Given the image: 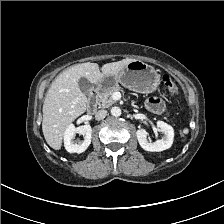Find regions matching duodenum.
Wrapping results in <instances>:
<instances>
[{"label":"duodenum","instance_id":"410a0bca","mask_svg":"<svg viewBox=\"0 0 224 224\" xmlns=\"http://www.w3.org/2000/svg\"><path fill=\"white\" fill-rule=\"evenodd\" d=\"M98 90L97 88L93 89L89 95V109H88V114H91L94 112L95 107H96V97H97Z\"/></svg>","mask_w":224,"mask_h":224}]
</instances>
